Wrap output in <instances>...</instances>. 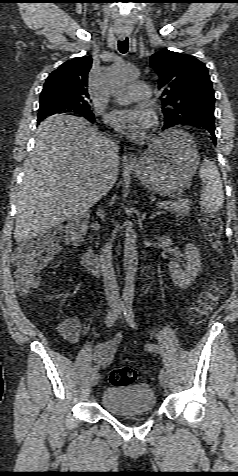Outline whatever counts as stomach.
Wrapping results in <instances>:
<instances>
[{
	"mask_svg": "<svg viewBox=\"0 0 238 476\" xmlns=\"http://www.w3.org/2000/svg\"><path fill=\"white\" fill-rule=\"evenodd\" d=\"M199 161L188 136L183 131L170 130L152 140L131 171L152 192L172 195L188 185Z\"/></svg>",
	"mask_w": 238,
	"mask_h": 476,
	"instance_id": "1",
	"label": "stomach"
}]
</instances>
